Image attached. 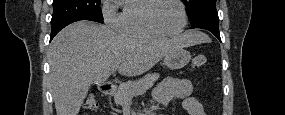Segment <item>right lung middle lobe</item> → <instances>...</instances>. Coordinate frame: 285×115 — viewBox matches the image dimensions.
I'll list each match as a JSON object with an SVG mask.
<instances>
[{"label": "right lung middle lobe", "mask_w": 285, "mask_h": 115, "mask_svg": "<svg viewBox=\"0 0 285 115\" xmlns=\"http://www.w3.org/2000/svg\"><path fill=\"white\" fill-rule=\"evenodd\" d=\"M72 20L103 23L100 0H54L51 27Z\"/></svg>", "instance_id": "1"}]
</instances>
